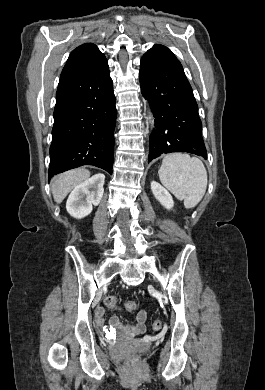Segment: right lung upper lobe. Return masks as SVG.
<instances>
[{
  "label": "right lung upper lobe",
  "mask_w": 265,
  "mask_h": 390,
  "mask_svg": "<svg viewBox=\"0 0 265 390\" xmlns=\"http://www.w3.org/2000/svg\"><path fill=\"white\" fill-rule=\"evenodd\" d=\"M105 61L107 60L104 54L94 44H82L71 52L62 70L59 83L89 72Z\"/></svg>",
  "instance_id": "1"
}]
</instances>
